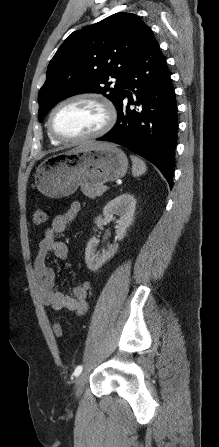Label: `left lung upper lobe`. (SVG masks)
I'll return each mask as SVG.
<instances>
[{"mask_svg": "<svg viewBox=\"0 0 219 447\" xmlns=\"http://www.w3.org/2000/svg\"><path fill=\"white\" fill-rule=\"evenodd\" d=\"M151 36L131 13H115L70 34L48 65L38 99L40 122L54 105L80 93H101L117 108L127 73Z\"/></svg>", "mask_w": 219, "mask_h": 447, "instance_id": "obj_1", "label": "left lung upper lobe"}]
</instances>
